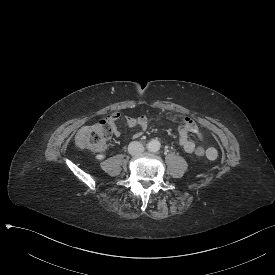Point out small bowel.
Wrapping results in <instances>:
<instances>
[{"label": "small bowel", "instance_id": "obj_1", "mask_svg": "<svg viewBox=\"0 0 275 275\" xmlns=\"http://www.w3.org/2000/svg\"><path fill=\"white\" fill-rule=\"evenodd\" d=\"M122 116L123 115H122L121 111H116L114 113L109 114V119L110 120H117V119H120ZM131 126H138L140 131H138L134 135V137H136V138L139 137L142 134V131L146 127V118L144 117L143 121H139L138 123H133V124H131ZM190 134L196 135L200 138V140H203V136H202V133H201L198 125L191 118L183 116L182 121L179 125L178 144L187 153H192L195 149V143L189 138ZM114 137L115 138H120L121 137V132L120 131H115L114 132ZM207 151L208 152H212V151L216 152V150L212 147L208 148Z\"/></svg>", "mask_w": 275, "mask_h": 275}]
</instances>
